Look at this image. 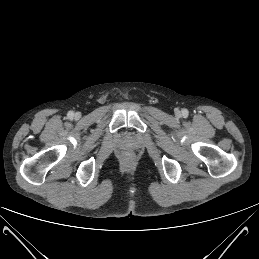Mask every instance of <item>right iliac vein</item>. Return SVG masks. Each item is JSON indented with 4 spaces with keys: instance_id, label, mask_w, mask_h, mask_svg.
Segmentation results:
<instances>
[{
    "instance_id": "1",
    "label": "right iliac vein",
    "mask_w": 259,
    "mask_h": 259,
    "mask_svg": "<svg viewBox=\"0 0 259 259\" xmlns=\"http://www.w3.org/2000/svg\"><path fill=\"white\" fill-rule=\"evenodd\" d=\"M79 116H80V114H79V113H76V114H75V117H76V118H78Z\"/></svg>"
}]
</instances>
